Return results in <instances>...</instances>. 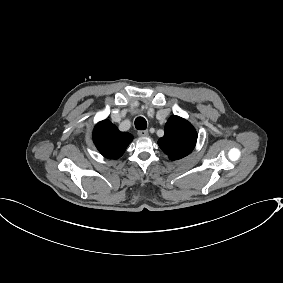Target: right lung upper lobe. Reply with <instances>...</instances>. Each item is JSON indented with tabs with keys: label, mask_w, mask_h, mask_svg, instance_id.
I'll return each mask as SVG.
<instances>
[{
	"label": "right lung upper lobe",
	"mask_w": 283,
	"mask_h": 283,
	"mask_svg": "<svg viewBox=\"0 0 283 283\" xmlns=\"http://www.w3.org/2000/svg\"><path fill=\"white\" fill-rule=\"evenodd\" d=\"M133 136L120 132L110 121L99 122L93 131V141L100 153L108 159L120 158Z\"/></svg>",
	"instance_id": "right-lung-upper-lobe-1"
}]
</instances>
